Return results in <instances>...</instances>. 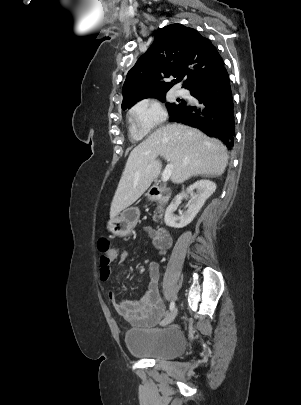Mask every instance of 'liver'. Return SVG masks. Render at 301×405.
Returning <instances> with one entry per match:
<instances>
[{
    "label": "liver",
    "instance_id": "6515ba94",
    "mask_svg": "<svg viewBox=\"0 0 301 405\" xmlns=\"http://www.w3.org/2000/svg\"><path fill=\"white\" fill-rule=\"evenodd\" d=\"M159 155L173 166L170 178L175 184L193 176H221L228 163L227 149L219 140L182 124L163 126L131 151L111 203V220L159 176Z\"/></svg>",
    "mask_w": 301,
    "mask_h": 405
}]
</instances>
